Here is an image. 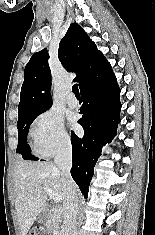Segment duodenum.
<instances>
[{
  "label": "duodenum",
  "mask_w": 155,
  "mask_h": 235,
  "mask_svg": "<svg viewBox=\"0 0 155 235\" xmlns=\"http://www.w3.org/2000/svg\"><path fill=\"white\" fill-rule=\"evenodd\" d=\"M50 213L55 216H61L63 214V210L61 208H52L50 209Z\"/></svg>",
  "instance_id": "duodenum-1"
}]
</instances>
